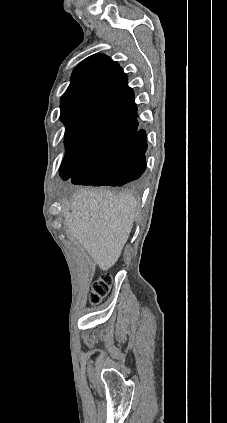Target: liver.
Here are the masks:
<instances>
[{
    "label": "liver",
    "mask_w": 227,
    "mask_h": 423,
    "mask_svg": "<svg viewBox=\"0 0 227 423\" xmlns=\"http://www.w3.org/2000/svg\"><path fill=\"white\" fill-rule=\"evenodd\" d=\"M136 206L133 194L84 188L75 194L71 210L63 211L64 227L106 271L122 253L133 227Z\"/></svg>",
    "instance_id": "liver-1"
}]
</instances>
